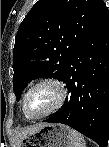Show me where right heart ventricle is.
Returning <instances> with one entry per match:
<instances>
[{
  "label": "right heart ventricle",
  "mask_w": 109,
  "mask_h": 147,
  "mask_svg": "<svg viewBox=\"0 0 109 147\" xmlns=\"http://www.w3.org/2000/svg\"><path fill=\"white\" fill-rule=\"evenodd\" d=\"M24 114H25V112H24ZM25 116H26L27 118L31 119V117H29L28 115L25 114Z\"/></svg>",
  "instance_id": "e07e8e85"
}]
</instances>
